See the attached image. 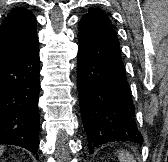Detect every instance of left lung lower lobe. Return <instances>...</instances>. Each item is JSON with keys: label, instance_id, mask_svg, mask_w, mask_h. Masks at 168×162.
<instances>
[{"label": "left lung lower lobe", "instance_id": "left-lung-lower-lobe-1", "mask_svg": "<svg viewBox=\"0 0 168 162\" xmlns=\"http://www.w3.org/2000/svg\"><path fill=\"white\" fill-rule=\"evenodd\" d=\"M78 30V92L90 153L114 141L142 144L114 28L97 16L85 14Z\"/></svg>", "mask_w": 168, "mask_h": 162}]
</instances>
